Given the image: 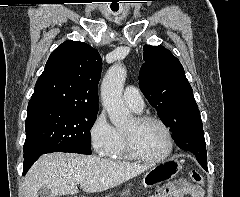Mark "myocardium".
Returning <instances> with one entry per match:
<instances>
[{"label":"myocardium","mask_w":240,"mask_h":197,"mask_svg":"<svg viewBox=\"0 0 240 197\" xmlns=\"http://www.w3.org/2000/svg\"><path fill=\"white\" fill-rule=\"evenodd\" d=\"M134 120L137 124H144L146 122L153 121V122H156L159 125H161L167 135L168 148H167L166 152L159 157H149V156L143 154L139 150V148L137 147V145L135 143L134 136L130 132L123 131L125 145H126V148H127V151L129 152V154L133 158L140 160V161L147 162V163H159V162H162V161L168 159L171 156V154L173 153L174 146H175L173 133H172V130L169 127V125L160 117H158L156 115H151V114L138 115L134 118Z\"/></svg>","instance_id":"myocardium-1"}]
</instances>
